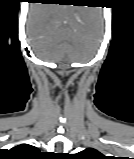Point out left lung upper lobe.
<instances>
[{"label": "left lung upper lobe", "mask_w": 134, "mask_h": 159, "mask_svg": "<svg viewBox=\"0 0 134 159\" xmlns=\"http://www.w3.org/2000/svg\"><path fill=\"white\" fill-rule=\"evenodd\" d=\"M71 159H107L104 155L93 148H87L73 156Z\"/></svg>", "instance_id": "1"}]
</instances>
